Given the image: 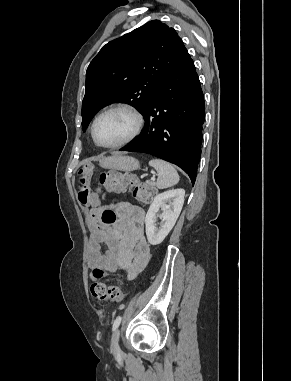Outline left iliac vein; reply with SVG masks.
I'll return each mask as SVG.
<instances>
[{"instance_id":"obj_1","label":"left iliac vein","mask_w":291,"mask_h":381,"mask_svg":"<svg viewBox=\"0 0 291 381\" xmlns=\"http://www.w3.org/2000/svg\"><path fill=\"white\" fill-rule=\"evenodd\" d=\"M119 335H120V332H119V330H117V331L114 332V334L112 336L111 346H112L113 350H118L119 349V345H118Z\"/></svg>"}]
</instances>
